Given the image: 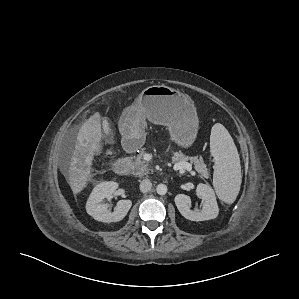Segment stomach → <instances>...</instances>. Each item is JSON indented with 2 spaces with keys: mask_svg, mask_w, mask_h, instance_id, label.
Returning a JSON list of instances; mask_svg holds the SVG:
<instances>
[{
  "mask_svg": "<svg viewBox=\"0 0 299 299\" xmlns=\"http://www.w3.org/2000/svg\"><path fill=\"white\" fill-rule=\"evenodd\" d=\"M146 119L168 128L171 139L183 148L196 139L199 119L190 97L165 85L145 88L134 103L122 114L121 123L126 133L134 136L143 132Z\"/></svg>",
  "mask_w": 299,
  "mask_h": 299,
  "instance_id": "1",
  "label": "stomach"
}]
</instances>
